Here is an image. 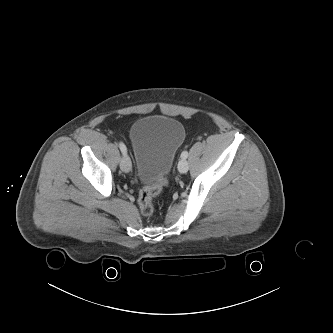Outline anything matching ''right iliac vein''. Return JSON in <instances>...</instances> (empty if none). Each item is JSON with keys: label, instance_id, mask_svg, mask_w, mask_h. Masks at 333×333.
I'll use <instances>...</instances> for the list:
<instances>
[{"label": "right iliac vein", "instance_id": "right-iliac-vein-1", "mask_svg": "<svg viewBox=\"0 0 333 333\" xmlns=\"http://www.w3.org/2000/svg\"><path fill=\"white\" fill-rule=\"evenodd\" d=\"M120 168L125 172L129 173L132 169V164L130 157L127 154H124V156L120 160Z\"/></svg>", "mask_w": 333, "mask_h": 333}]
</instances>
